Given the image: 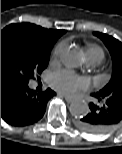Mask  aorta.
Returning <instances> with one entry per match:
<instances>
[{
  "instance_id": "obj_1",
  "label": "aorta",
  "mask_w": 122,
  "mask_h": 154,
  "mask_svg": "<svg viewBox=\"0 0 122 154\" xmlns=\"http://www.w3.org/2000/svg\"><path fill=\"white\" fill-rule=\"evenodd\" d=\"M61 62L68 68H76L81 65L83 56L77 47H66L60 53ZM69 111L73 116L80 117L88 114L89 107L83 101H74L70 104Z\"/></svg>"
}]
</instances>
